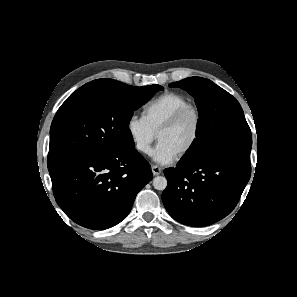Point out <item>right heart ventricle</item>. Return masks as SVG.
Returning <instances> with one entry per match:
<instances>
[{"label": "right heart ventricle", "instance_id": "e07e8e85", "mask_svg": "<svg viewBox=\"0 0 297 297\" xmlns=\"http://www.w3.org/2000/svg\"><path fill=\"white\" fill-rule=\"evenodd\" d=\"M191 104L189 99L177 92H164L143 107V118L157 133L159 128L180 108Z\"/></svg>", "mask_w": 297, "mask_h": 297}]
</instances>
